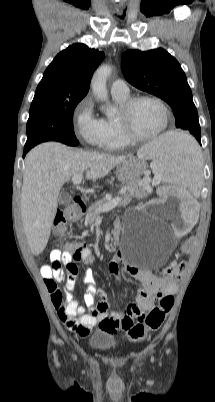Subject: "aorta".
Instances as JSON below:
<instances>
[{
  "instance_id": "obj_1",
  "label": "aorta",
  "mask_w": 215,
  "mask_h": 402,
  "mask_svg": "<svg viewBox=\"0 0 215 402\" xmlns=\"http://www.w3.org/2000/svg\"><path fill=\"white\" fill-rule=\"evenodd\" d=\"M112 67L110 65H101L98 67V69L95 71L92 81H91V87L94 95L102 100L107 102L108 101V93H107V88H106V82L107 78L111 74ZM115 112V109L109 104L107 105L106 109V115L111 116Z\"/></svg>"
}]
</instances>
